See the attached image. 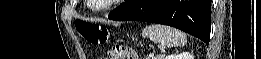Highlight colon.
I'll return each mask as SVG.
<instances>
[{"instance_id":"obj_1","label":"colon","mask_w":261,"mask_h":59,"mask_svg":"<svg viewBox=\"0 0 261 59\" xmlns=\"http://www.w3.org/2000/svg\"><path fill=\"white\" fill-rule=\"evenodd\" d=\"M78 33L89 43L94 45H104L107 43L109 38L108 29L95 23H84L79 22L76 24ZM110 59H136L135 52L127 47L116 46L113 47L109 53Z\"/></svg>"}]
</instances>
